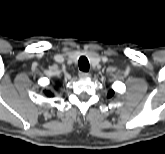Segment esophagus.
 I'll list each match as a JSON object with an SVG mask.
<instances>
[{
    "label": "esophagus",
    "instance_id": "esophagus-1",
    "mask_svg": "<svg viewBox=\"0 0 165 154\" xmlns=\"http://www.w3.org/2000/svg\"><path fill=\"white\" fill-rule=\"evenodd\" d=\"M79 77L80 78H88V77H90V73L84 72V71H80L79 72Z\"/></svg>",
    "mask_w": 165,
    "mask_h": 154
}]
</instances>
